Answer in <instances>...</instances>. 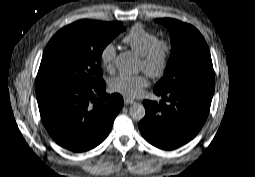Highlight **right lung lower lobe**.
Returning a JSON list of instances; mask_svg holds the SVG:
<instances>
[{
    "label": "right lung lower lobe",
    "instance_id": "obj_1",
    "mask_svg": "<svg viewBox=\"0 0 255 177\" xmlns=\"http://www.w3.org/2000/svg\"><path fill=\"white\" fill-rule=\"evenodd\" d=\"M105 88L103 79L88 87L63 83L36 87L41 119L59 145L84 152L107 137L123 98L106 94Z\"/></svg>",
    "mask_w": 255,
    "mask_h": 177
}]
</instances>
